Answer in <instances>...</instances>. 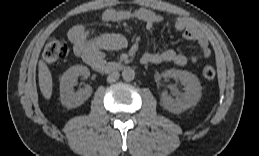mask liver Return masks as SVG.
I'll return each instance as SVG.
<instances>
[{"instance_id":"liver-1","label":"liver","mask_w":259,"mask_h":156,"mask_svg":"<svg viewBox=\"0 0 259 156\" xmlns=\"http://www.w3.org/2000/svg\"><path fill=\"white\" fill-rule=\"evenodd\" d=\"M38 79L43 97L49 100L52 95L53 81L51 72L43 60H39L38 63Z\"/></svg>"}]
</instances>
